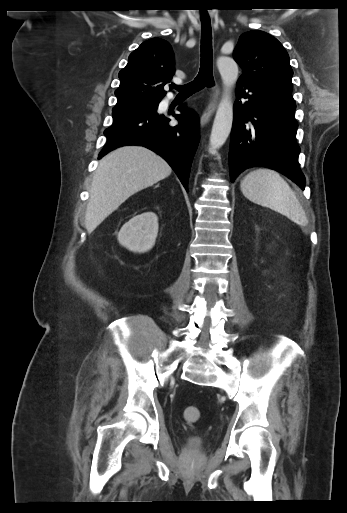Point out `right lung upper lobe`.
Instances as JSON below:
<instances>
[{
    "mask_svg": "<svg viewBox=\"0 0 347 513\" xmlns=\"http://www.w3.org/2000/svg\"><path fill=\"white\" fill-rule=\"evenodd\" d=\"M175 73L171 45L160 38L143 42L119 72L120 86L115 91L116 106L132 105L146 100L160 101L166 94L163 87Z\"/></svg>",
    "mask_w": 347,
    "mask_h": 513,
    "instance_id": "right-lung-upper-lobe-1",
    "label": "right lung upper lobe"
}]
</instances>
